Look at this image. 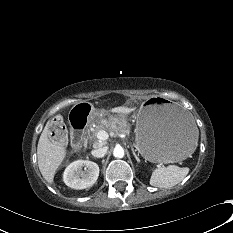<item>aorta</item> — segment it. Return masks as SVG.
I'll return each mask as SVG.
<instances>
[{
	"label": "aorta",
	"instance_id": "aorta-1",
	"mask_svg": "<svg viewBox=\"0 0 233 233\" xmlns=\"http://www.w3.org/2000/svg\"><path fill=\"white\" fill-rule=\"evenodd\" d=\"M113 155L116 158H123L124 157V149L121 146H116L113 150Z\"/></svg>",
	"mask_w": 233,
	"mask_h": 233
}]
</instances>
